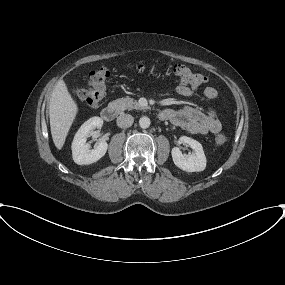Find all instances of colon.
<instances>
[{
    "mask_svg": "<svg viewBox=\"0 0 285 285\" xmlns=\"http://www.w3.org/2000/svg\"><path fill=\"white\" fill-rule=\"evenodd\" d=\"M133 70L137 73H144L146 66L136 64ZM155 71L156 68L151 69ZM168 72L180 83L191 87H199L207 83L208 78L204 74L193 72L188 67L182 64H174L168 68ZM110 76V71L106 67L97 68L89 73L87 85L76 87L72 93L81 101H84L91 107H96L103 99L106 91V82ZM227 137L223 134H218L214 139V144L217 147L225 145Z\"/></svg>",
    "mask_w": 285,
    "mask_h": 285,
    "instance_id": "5ec220e1",
    "label": "colon"
}]
</instances>
